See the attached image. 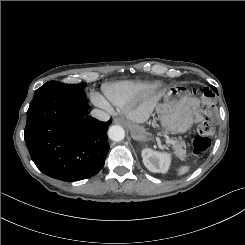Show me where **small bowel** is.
<instances>
[{
    "label": "small bowel",
    "mask_w": 245,
    "mask_h": 245,
    "mask_svg": "<svg viewBox=\"0 0 245 245\" xmlns=\"http://www.w3.org/2000/svg\"><path fill=\"white\" fill-rule=\"evenodd\" d=\"M189 100L192 104L197 105L203 103L208 109L213 108L218 104L219 97L214 89L194 85L188 91Z\"/></svg>",
    "instance_id": "obj_1"
}]
</instances>
